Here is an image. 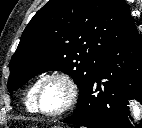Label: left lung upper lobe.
Returning a JSON list of instances; mask_svg holds the SVG:
<instances>
[{"instance_id": "left-lung-upper-lobe-1", "label": "left lung upper lobe", "mask_w": 142, "mask_h": 128, "mask_svg": "<svg viewBox=\"0 0 142 128\" xmlns=\"http://www.w3.org/2000/svg\"><path fill=\"white\" fill-rule=\"evenodd\" d=\"M136 32L124 0H50L23 31L10 61L8 91L57 70L74 79L79 102L106 52Z\"/></svg>"}]
</instances>
